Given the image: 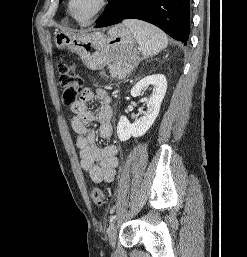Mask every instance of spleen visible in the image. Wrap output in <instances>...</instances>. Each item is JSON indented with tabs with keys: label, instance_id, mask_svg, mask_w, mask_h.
I'll list each match as a JSON object with an SVG mask.
<instances>
[{
	"label": "spleen",
	"instance_id": "obj_1",
	"mask_svg": "<svg viewBox=\"0 0 247 257\" xmlns=\"http://www.w3.org/2000/svg\"><path fill=\"white\" fill-rule=\"evenodd\" d=\"M123 24L133 33L144 56H152L168 44L166 34L157 27L140 20H124Z\"/></svg>",
	"mask_w": 247,
	"mask_h": 257
}]
</instances>
